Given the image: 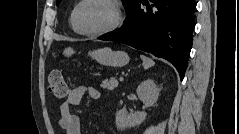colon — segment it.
I'll return each mask as SVG.
<instances>
[{
    "instance_id": "obj_1",
    "label": "colon",
    "mask_w": 239,
    "mask_h": 134,
    "mask_svg": "<svg viewBox=\"0 0 239 134\" xmlns=\"http://www.w3.org/2000/svg\"><path fill=\"white\" fill-rule=\"evenodd\" d=\"M49 91L58 98L67 97L70 94L71 86L64 79L63 74L59 70H53L48 76Z\"/></svg>"
}]
</instances>
